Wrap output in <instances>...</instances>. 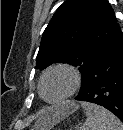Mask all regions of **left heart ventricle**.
Here are the masks:
<instances>
[{"label":"left heart ventricle","instance_id":"b2bd125f","mask_svg":"<svg viewBox=\"0 0 123 130\" xmlns=\"http://www.w3.org/2000/svg\"><path fill=\"white\" fill-rule=\"evenodd\" d=\"M72 83L71 76L63 70L49 73L43 83V93L48 99H56L65 94Z\"/></svg>","mask_w":123,"mask_h":130}]
</instances>
